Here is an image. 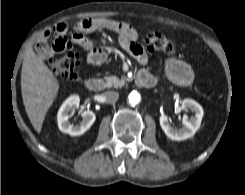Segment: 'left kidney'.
I'll return each mask as SVG.
<instances>
[{
  "mask_svg": "<svg viewBox=\"0 0 245 195\" xmlns=\"http://www.w3.org/2000/svg\"><path fill=\"white\" fill-rule=\"evenodd\" d=\"M182 108L184 110H191L195 115L191 118L184 115L182 120L183 127L180 129H175L169 124L167 115H161L159 118L162 130L171 140L182 141L188 139L196 133L201 125L204 112L200 104L192 99H184Z\"/></svg>",
  "mask_w": 245,
  "mask_h": 195,
  "instance_id": "obj_1",
  "label": "left kidney"
}]
</instances>
